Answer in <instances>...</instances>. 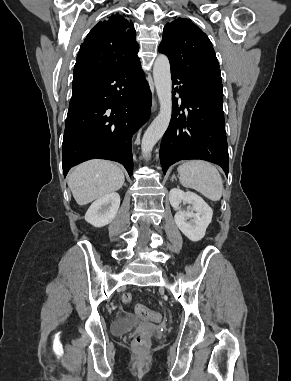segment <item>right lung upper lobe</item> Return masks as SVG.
<instances>
[{"mask_svg": "<svg viewBox=\"0 0 291 381\" xmlns=\"http://www.w3.org/2000/svg\"><path fill=\"white\" fill-rule=\"evenodd\" d=\"M135 37L133 23L122 14L98 22L81 45L74 69L112 70L138 59Z\"/></svg>", "mask_w": 291, "mask_h": 381, "instance_id": "obj_1", "label": "right lung upper lobe"}]
</instances>
